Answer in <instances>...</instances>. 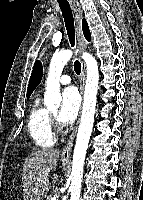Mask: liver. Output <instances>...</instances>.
Listing matches in <instances>:
<instances>
[{
  "instance_id": "1",
  "label": "liver",
  "mask_w": 143,
  "mask_h": 200,
  "mask_svg": "<svg viewBox=\"0 0 143 200\" xmlns=\"http://www.w3.org/2000/svg\"><path fill=\"white\" fill-rule=\"evenodd\" d=\"M60 151L57 149H39L32 152L23 165V199L43 200L49 191V173L55 170ZM59 176L54 173L52 184L58 182Z\"/></svg>"
}]
</instances>
